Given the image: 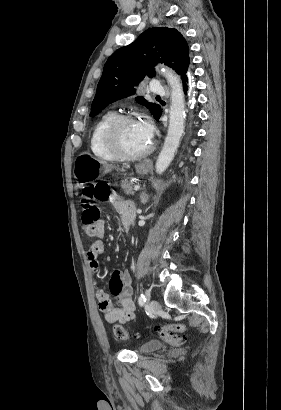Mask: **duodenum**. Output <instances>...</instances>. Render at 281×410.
I'll list each match as a JSON object with an SVG mask.
<instances>
[{"mask_svg":"<svg viewBox=\"0 0 281 410\" xmlns=\"http://www.w3.org/2000/svg\"><path fill=\"white\" fill-rule=\"evenodd\" d=\"M125 230H127V226H124Z\"/></svg>","mask_w":281,"mask_h":410,"instance_id":"duodenum-1","label":"duodenum"}]
</instances>
